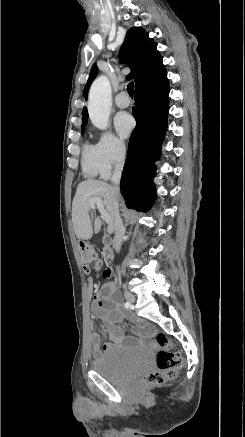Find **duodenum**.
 I'll return each mask as SVG.
<instances>
[{
  "label": "duodenum",
  "instance_id": "obj_1",
  "mask_svg": "<svg viewBox=\"0 0 245 437\" xmlns=\"http://www.w3.org/2000/svg\"><path fill=\"white\" fill-rule=\"evenodd\" d=\"M104 244H105V246L103 248V254L106 257V259L112 260L113 251H112V248L110 247V238L109 237H105Z\"/></svg>",
  "mask_w": 245,
  "mask_h": 437
}]
</instances>
